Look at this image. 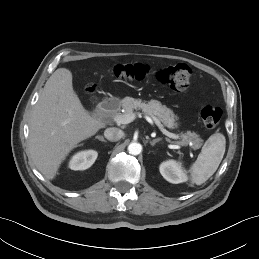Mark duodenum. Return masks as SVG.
<instances>
[{
	"label": "duodenum",
	"instance_id": "duodenum-1",
	"mask_svg": "<svg viewBox=\"0 0 259 259\" xmlns=\"http://www.w3.org/2000/svg\"><path fill=\"white\" fill-rule=\"evenodd\" d=\"M119 106L120 104L117 100H105L100 103L99 110L104 114H112L119 108Z\"/></svg>",
	"mask_w": 259,
	"mask_h": 259
}]
</instances>
